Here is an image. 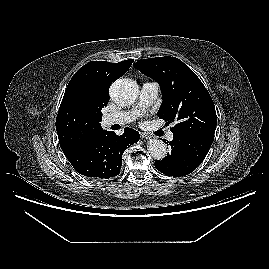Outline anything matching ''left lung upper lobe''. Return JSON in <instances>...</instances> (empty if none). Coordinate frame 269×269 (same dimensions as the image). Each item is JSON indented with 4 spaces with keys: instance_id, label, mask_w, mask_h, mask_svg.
<instances>
[{
    "instance_id": "obj_1",
    "label": "left lung upper lobe",
    "mask_w": 269,
    "mask_h": 269,
    "mask_svg": "<svg viewBox=\"0 0 269 269\" xmlns=\"http://www.w3.org/2000/svg\"><path fill=\"white\" fill-rule=\"evenodd\" d=\"M134 67L156 80L162 92L158 111L173 135H210L214 137L217 116L214 102L197 75L175 57L137 60Z\"/></svg>"
}]
</instances>
